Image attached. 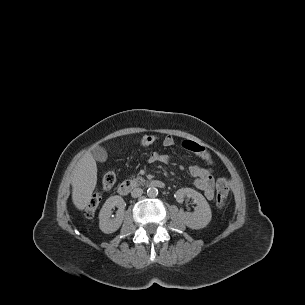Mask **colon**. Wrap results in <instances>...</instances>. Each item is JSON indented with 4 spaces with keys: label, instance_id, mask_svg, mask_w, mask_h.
I'll return each mask as SVG.
<instances>
[{
    "label": "colon",
    "instance_id": "colon-1",
    "mask_svg": "<svg viewBox=\"0 0 305 305\" xmlns=\"http://www.w3.org/2000/svg\"><path fill=\"white\" fill-rule=\"evenodd\" d=\"M156 141V136L152 134L144 135L137 140V143L141 147H148ZM116 174L114 171H108L104 174L102 178V188L103 190H108L114 186L116 182ZM230 183L225 177L220 178L217 181V195H216V205L218 208L223 209L228 204V194H229ZM101 202V193L96 192L90 198L86 208L85 213L88 217H93L97 211V208Z\"/></svg>",
    "mask_w": 305,
    "mask_h": 305
}]
</instances>
